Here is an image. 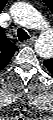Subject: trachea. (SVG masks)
<instances>
[{
  "mask_svg": "<svg viewBox=\"0 0 53 120\" xmlns=\"http://www.w3.org/2000/svg\"><path fill=\"white\" fill-rule=\"evenodd\" d=\"M17 37L19 39V41H24L29 39V35L27 34V32L25 30H23L22 28H19L17 30Z\"/></svg>",
  "mask_w": 53,
  "mask_h": 120,
  "instance_id": "3493384b",
  "label": "trachea"
}]
</instances>
